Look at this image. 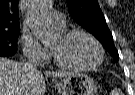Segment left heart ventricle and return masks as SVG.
Returning a JSON list of instances; mask_svg holds the SVG:
<instances>
[{
  "mask_svg": "<svg viewBox=\"0 0 135 95\" xmlns=\"http://www.w3.org/2000/svg\"><path fill=\"white\" fill-rule=\"evenodd\" d=\"M55 55L66 64L89 65L99 57L95 44L84 35H75L69 39L58 36L51 44Z\"/></svg>",
  "mask_w": 135,
  "mask_h": 95,
  "instance_id": "left-heart-ventricle-1",
  "label": "left heart ventricle"
}]
</instances>
